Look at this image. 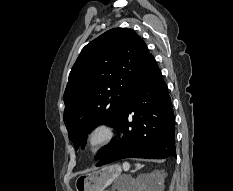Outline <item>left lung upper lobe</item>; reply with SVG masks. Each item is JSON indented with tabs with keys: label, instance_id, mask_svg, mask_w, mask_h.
Here are the masks:
<instances>
[{
	"label": "left lung upper lobe",
	"instance_id": "5c2ea615",
	"mask_svg": "<svg viewBox=\"0 0 233 191\" xmlns=\"http://www.w3.org/2000/svg\"><path fill=\"white\" fill-rule=\"evenodd\" d=\"M149 50L132 29L114 28L87 44L69 74L64 122L76 150L99 124L116 128L131 85Z\"/></svg>",
	"mask_w": 233,
	"mask_h": 191
}]
</instances>
